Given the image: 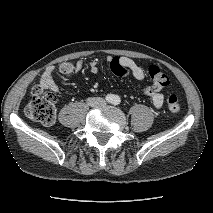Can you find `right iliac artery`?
<instances>
[{
    "mask_svg": "<svg viewBox=\"0 0 213 213\" xmlns=\"http://www.w3.org/2000/svg\"><path fill=\"white\" fill-rule=\"evenodd\" d=\"M106 100L108 101V102H112L113 101V96L112 95H107L106 96Z\"/></svg>",
    "mask_w": 213,
    "mask_h": 213,
    "instance_id": "right-iliac-artery-1",
    "label": "right iliac artery"
}]
</instances>
